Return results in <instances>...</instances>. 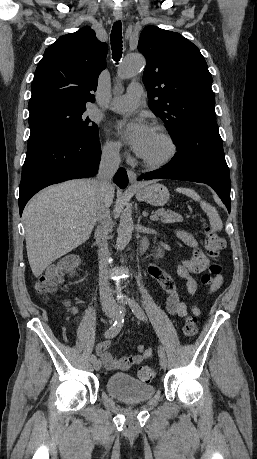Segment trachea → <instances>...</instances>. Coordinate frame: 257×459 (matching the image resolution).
Returning a JSON list of instances; mask_svg holds the SVG:
<instances>
[{"mask_svg": "<svg viewBox=\"0 0 257 459\" xmlns=\"http://www.w3.org/2000/svg\"><path fill=\"white\" fill-rule=\"evenodd\" d=\"M112 57L118 62L122 55V24L121 21L114 23L111 31Z\"/></svg>", "mask_w": 257, "mask_h": 459, "instance_id": "1", "label": "trachea"}]
</instances>
